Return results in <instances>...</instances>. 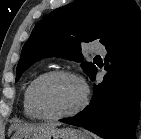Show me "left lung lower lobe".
Listing matches in <instances>:
<instances>
[{
    "mask_svg": "<svg viewBox=\"0 0 141 139\" xmlns=\"http://www.w3.org/2000/svg\"><path fill=\"white\" fill-rule=\"evenodd\" d=\"M105 47L107 74L94 87L90 104L75 117L60 121L106 139H135L141 100V21Z\"/></svg>",
    "mask_w": 141,
    "mask_h": 139,
    "instance_id": "0a47b994",
    "label": "left lung lower lobe"
}]
</instances>
